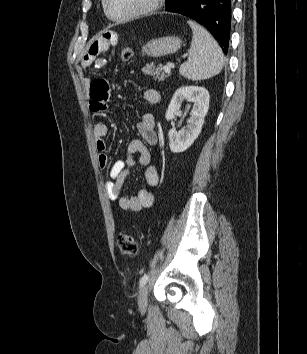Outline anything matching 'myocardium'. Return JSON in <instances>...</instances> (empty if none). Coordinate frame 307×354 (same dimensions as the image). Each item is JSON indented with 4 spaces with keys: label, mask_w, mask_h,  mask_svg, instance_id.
Masks as SVG:
<instances>
[{
    "label": "myocardium",
    "mask_w": 307,
    "mask_h": 354,
    "mask_svg": "<svg viewBox=\"0 0 307 354\" xmlns=\"http://www.w3.org/2000/svg\"><path fill=\"white\" fill-rule=\"evenodd\" d=\"M102 3H103L104 12L110 20L115 22H127L156 11L160 7L162 0H149L148 3L145 6H143L141 9L124 16L112 15L108 7V0H103Z\"/></svg>",
    "instance_id": "obj_1"
}]
</instances>
